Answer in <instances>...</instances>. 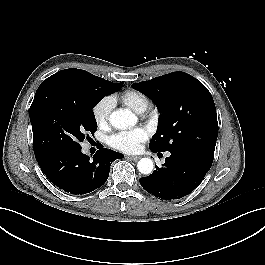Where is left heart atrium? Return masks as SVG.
Wrapping results in <instances>:
<instances>
[{
    "mask_svg": "<svg viewBox=\"0 0 265 265\" xmlns=\"http://www.w3.org/2000/svg\"><path fill=\"white\" fill-rule=\"evenodd\" d=\"M148 138V132L142 127L122 130L108 138V144L120 151L134 153L140 150L141 145Z\"/></svg>",
    "mask_w": 265,
    "mask_h": 265,
    "instance_id": "39dd6f15",
    "label": "left heart atrium"
}]
</instances>
